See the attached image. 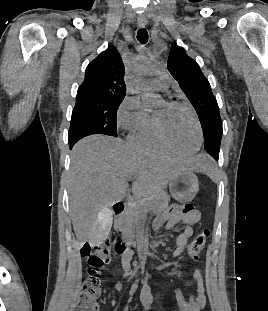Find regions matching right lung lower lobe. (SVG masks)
I'll use <instances>...</instances> for the list:
<instances>
[{"label":"right lung lower lobe","instance_id":"obj_1","mask_svg":"<svg viewBox=\"0 0 268 311\" xmlns=\"http://www.w3.org/2000/svg\"><path fill=\"white\" fill-rule=\"evenodd\" d=\"M88 135H91L90 132L88 131H79L76 134H74L73 136H68V140H69V148L72 149V147L74 146V144L80 140L83 137H86Z\"/></svg>","mask_w":268,"mask_h":311}]
</instances>
